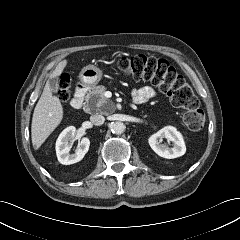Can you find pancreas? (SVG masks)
<instances>
[{
    "label": "pancreas",
    "instance_id": "cf45deb5",
    "mask_svg": "<svg viewBox=\"0 0 240 240\" xmlns=\"http://www.w3.org/2000/svg\"><path fill=\"white\" fill-rule=\"evenodd\" d=\"M106 87L103 85L95 86L90 90L85 98V109L87 112L107 113V108L114 109V103L105 98Z\"/></svg>",
    "mask_w": 240,
    "mask_h": 240
}]
</instances>
